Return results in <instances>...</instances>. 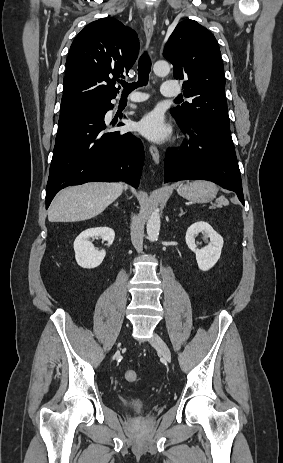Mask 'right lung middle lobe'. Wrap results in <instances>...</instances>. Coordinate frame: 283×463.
<instances>
[{"mask_svg":"<svg viewBox=\"0 0 283 463\" xmlns=\"http://www.w3.org/2000/svg\"><path fill=\"white\" fill-rule=\"evenodd\" d=\"M69 114V113H68ZM64 115H67V114H60V116H64Z\"/></svg>","mask_w":283,"mask_h":463,"instance_id":"obj_1","label":"right lung middle lobe"}]
</instances>
